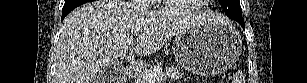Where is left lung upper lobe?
<instances>
[{
	"label": "left lung upper lobe",
	"mask_w": 307,
	"mask_h": 83,
	"mask_svg": "<svg viewBox=\"0 0 307 83\" xmlns=\"http://www.w3.org/2000/svg\"><path fill=\"white\" fill-rule=\"evenodd\" d=\"M219 4L225 11V14L231 18L238 21H244L241 17V6L239 0H218Z\"/></svg>",
	"instance_id": "1"
}]
</instances>
